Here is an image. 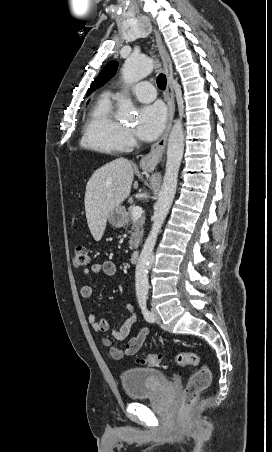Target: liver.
Returning <instances> with one entry per match:
<instances>
[{"mask_svg": "<svg viewBox=\"0 0 272 452\" xmlns=\"http://www.w3.org/2000/svg\"><path fill=\"white\" fill-rule=\"evenodd\" d=\"M133 178L131 162L118 158L97 169L87 182L85 212L96 241L104 234L109 213L129 196Z\"/></svg>", "mask_w": 272, "mask_h": 452, "instance_id": "liver-1", "label": "liver"}]
</instances>
